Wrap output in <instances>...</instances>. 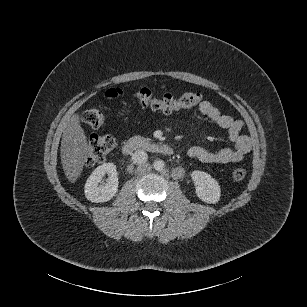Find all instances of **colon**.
I'll return each mask as SVG.
<instances>
[{
  "instance_id": "1",
  "label": "colon",
  "mask_w": 307,
  "mask_h": 307,
  "mask_svg": "<svg viewBox=\"0 0 307 307\" xmlns=\"http://www.w3.org/2000/svg\"><path fill=\"white\" fill-rule=\"evenodd\" d=\"M124 91L121 88H112L105 93L107 99H113L121 96ZM138 105L143 109L162 113H172L181 109L190 108L203 101V97L198 92L188 91L174 97L165 94L161 97H153L152 92L148 88H142L135 94ZM105 120V109H90L83 114V123L90 128L100 127ZM116 145V139L112 135H96L89 142V150L87 156V164L89 166L97 165L103 162L111 153ZM233 178L242 180L246 176V170L242 166L233 169Z\"/></svg>"
}]
</instances>
